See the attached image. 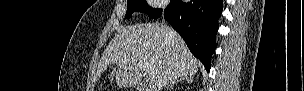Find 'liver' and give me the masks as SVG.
<instances>
[{
	"instance_id": "6515ba94",
	"label": "liver",
	"mask_w": 304,
	"mask_h": 91,
	"mask_svg": "<svg viewBox=\"0 0 304 91\" xmlns=\"http://www.w3.org/2000/svg\"><path fill=\"white\" fill-rule=\"evenodd\" d=\"M141 62L152 72L149 91H161L169 82L192 78L200 67L178 33L159 23H145L118 31L102 54L97 76L100 78L108 67L117 65V85L136 86L143 76Z\"/></svg>"
}]
</instances>
